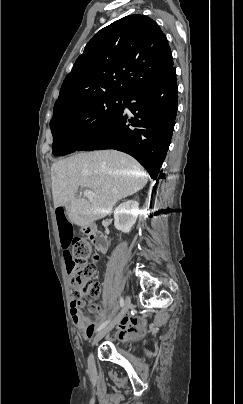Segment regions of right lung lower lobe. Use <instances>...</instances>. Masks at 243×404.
I'll use <instances>...</instances> for the list:
<instances>
[{"label": "right lung lower lobe", "mask_w": 243, "mask_h": 404, "mask_svg": "<svg viewBox=\"0 0 243 404\" xmlns=\"http://www.w3.org/2000/svg\"><path fill=\"white\" fill-rule=\"evenodd\" d=\"M176 70L136 89L123 99L111 121L77 151L116 149L130 154L149 172L159 175L175 125L178 104ZM127 107L133 116L124 114Z\"/></svg>", "instance_id": "obj_1"}]
</instances>
